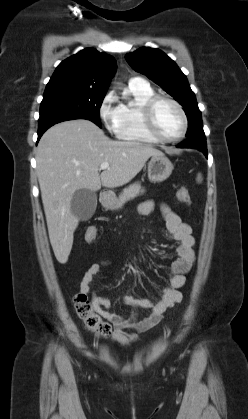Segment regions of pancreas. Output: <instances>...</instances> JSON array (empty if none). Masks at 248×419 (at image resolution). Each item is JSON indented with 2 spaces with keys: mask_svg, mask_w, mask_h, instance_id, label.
<instances>
[{
  "mask_svg": "<svg viewBox=\"0 0 248 419\" xmlns=\"http://www.w3.org/2000/svg\"><path fill=\"white\" fill-rule=\"evenodd\" d=\"M145 191L141 188L139 182L133 183L128 187L123 189V192L120 194L119 199L116 203V208L121 207L126 201L135 198L139 194H143Z\"/></svg>",
  "mask_w": 248,
  "mask_h": 419,
  "instance_id": "pancreas-1",
  "label": "pancreas"
}]
</instances>
